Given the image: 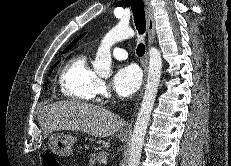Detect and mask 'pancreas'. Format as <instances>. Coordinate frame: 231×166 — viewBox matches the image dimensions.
Instances as JSON below:
<instances>
[{"label": "pancreas", "mask_w": 231, "mask_h": 166, "mask_svg": "<svg viewBox=\"0 0 231 166\" xmlns=\"http://www.w3.org/2000/svg\"><path fill=\"white\" fill-rule=\"evenodd\" d=\"M108 155L105 151L91 154L89 157V166H95L96 163H101L103 159H107Z\"/></svg>", "instance_id": "cf45deb5"}]
</instances>
